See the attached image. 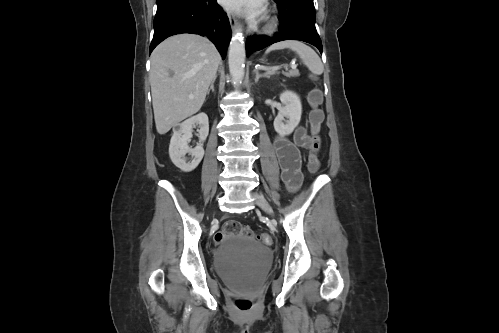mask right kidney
<instances>
[{"instance_id": "obj_1", "label": "right kidney", "mask_w": 499, "mask_h": 333, "mask_svg": "<svg viewBox=\"0 0 499 333\" xmlns=\"http://www.w3.org/2000/svg\"><path fill=\"white\" fill-rule=\"evenodd\" d=\"M199 125V141L203 143L209 133L208 116L205 113H199L181 124L174 130L173 136L169 145V156L173 164L183 172H190L194 170L201 162L204 156L203 144L190 149L187 141L192 137V128ZM192 156V160L187 162L185 155Z\"/></svg>"}]
</instances>
